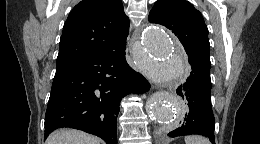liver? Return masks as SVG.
Masks as SVG:
<instances>
[{
    "label": "liver",
    "mask_w": 260,
    "mask_h": 144,
    "mask_svg": "<svg viewBox=\"0 0 260 144\" xmlns=\"http://www.w3.org/2000/svg\"><path fill=\"white\" fill-rule=\"evenodd\" d=\"M46 144H100V140L79 130L59 129L49 135Z\"/></svg>",
    "instance_id": "6515ba94"
}]
</instances>
